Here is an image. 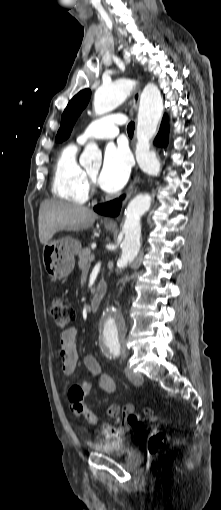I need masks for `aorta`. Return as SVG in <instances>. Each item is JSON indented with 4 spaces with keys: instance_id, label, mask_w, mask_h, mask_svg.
Here are the masks:
<instances>
[{
    "instance_id": "aorta-1",
    "label": "aorta",
    "mask_w": 221,
    "mask_h": 510,
    "mask_svg": "<svg viewBox=\"0 0 221 510\" xmlns=\"http://www.w3.org/2000/svg\"><path fill=\"white\" fill-rule=\"evenodd\" d=\"M135 86L133 79H120L99 87L94 95L93 108L96 115L114 110L129 96ZM163 100L158 87L148 83L140 97L137 122L136 159L141 170L152 176L160 173V162L150 150V139L156 133L163 113ZM101 153L95 143L88 144L80 158L83 166L99 164ZM152 197L145 193L136 195L128 204L122 227L124 239L121 244L119 267H126L138 255L141 248V217L151 207ZM124 321L119 310L106 305L101 312L100 346L104 350L120 348L124 342Z\"/></svg>"
}]
</instances>
